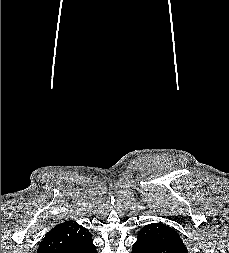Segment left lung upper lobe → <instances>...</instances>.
Listing matches in <instances>:
<instances>
[{
  "mask_svg": "<svg viewBox=\"0 0 229 253\" xmlns=\"http://www.w3.org/2000/svg\"><path fill=\"white\" fill-rule=\"evenodd\" d=\"M139 241L155 244H172L184 246L178 232L163 223H153L143 227L137 237Z\"/></svg>",
  "mask_w": 229,
  "mask_h": 253,
  "instance_id": "1",
  "label": "left lung upper lobe"
}]
</instances>
